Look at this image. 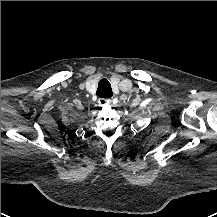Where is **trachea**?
<instances>
[{
	"mask_svg": "<svg viewBox=\"0 0 217 217\" xmlns=\"http://www.w3.org/2000/svg\"><path fill=\"white\" fill-rule=\"evenodd\" d=\"M96 94L100 98H111L113 96L110 82L106 78L99 81Z\"/></svg>",
	"mask_w": 217,
	"mask_h": 217,
	"instance_id": "3493384b",
	"label": "trachea"
}]
</instances>
